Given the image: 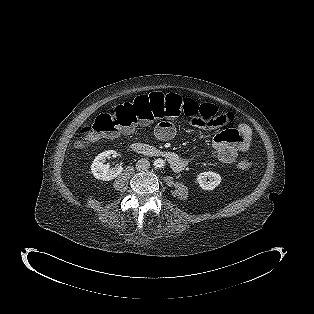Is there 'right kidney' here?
<instances>
[{
	"label": "right kidney",
	"instance_id": "ca27d5eb",
	"mask_svg": "<svg viewBox=\"0 0 314 314\" xmlns=\"http://www.w3.org/2000/svg\"><path fill=\"white\" fill-rule=\"evenodd\" d=\"M110 156L115 157L118 154L114 150H108L100 153L94 159L91 165V172L96 179L110 181L122 173L123 167L121 165L111 168L109 164H105L106 159L110 158Z\"/></svg>",
	"mask_w": 314,
	"mask_h": 314
}]
</instances>
